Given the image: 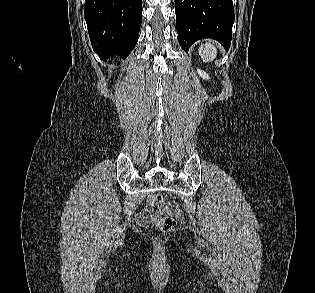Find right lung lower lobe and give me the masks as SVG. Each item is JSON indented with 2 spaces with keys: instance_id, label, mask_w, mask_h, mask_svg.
<instances>
[{
  "instance_id": "1",
  "label": "right lung lower lobe",
  "mask_w": 315,
  "mask_h": 293,
  "mask_svg": "<svg viewBox=\"0 0 315 293\" xmlns=\"http://www.w3.org/2000/svg\"><path fill=\"white\" fill-rule=\"evenodd\" d=\"M84 16L92 47L100 58H126L138 40L142 0H85Z\"/></svg>"
}]
</instances>
